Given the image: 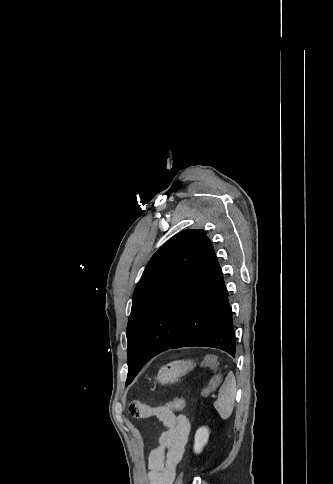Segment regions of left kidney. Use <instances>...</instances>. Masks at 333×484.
Listing matches in <instances>:
<instances>
[{
	"instance_id": "left-kidney-1",
	"label": "left kidney",
	"mask_w": 333,
	"mask_h": 484,
	"mask_svg": "<svg viewBox=\"0 0 333 484\" xmlns=\"http://www.w3.org/2000/svg\"><path fill=\"white\" fill-rule=\"evenodd\" d=\"M209 439V430L207 427H200L195 434L194 452L200 453L203 447L207 444Z\"/></svg>"
}]
</instances>
